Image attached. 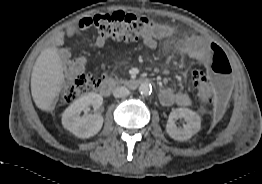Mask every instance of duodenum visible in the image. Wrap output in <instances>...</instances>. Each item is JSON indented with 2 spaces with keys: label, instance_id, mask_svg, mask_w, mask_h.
I'll return each instance as SVG.
<instances>
[{
  "label": "duodenum",
  "instance_id": "duodenum-1",
  "mask_svg": "<svg viewBox=\"0 0 262 184\" xmlns=\"http://www.w3.org/2000/svg\"><path fill=\"white\" fill-rule=\"evenodd\" d=\"M150 83L151 81L147 78H135V79H128V80H117L113 78H108L101 82L99 86V91L101 95L107 97L120 84H123L128 88L135 89L142 85H148Z\"/></svg>",
  "mask_w": 262,
  "mask_h": 184
}]
</instances>
